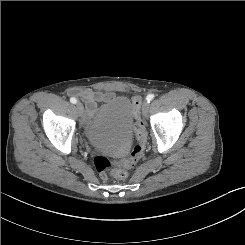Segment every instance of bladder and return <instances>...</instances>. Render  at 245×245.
<instances>
[{
  "label": "bladder",
  "instance_id": "31cf9c89",
  "mask_svg": "<svg viewBox=\"0 0 245 245\" xmlns=\"http://www.w3.org/2000/svg\"><path fill=\"white\" fill-rule=\"evenodd\" d=\"M133 111L129 99L118 97L101 107L85 126L88 142L105 152L122 155L132 139Z\"/></svg>",
  "mask_w": 245,
  "mask_h": 245
}]
</instances>
